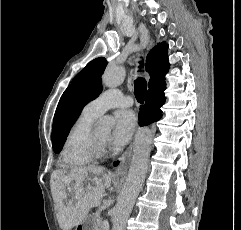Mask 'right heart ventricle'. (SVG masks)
<instances>
[{
	"label": "right heart ventricle",
	"mask_w": 241,
	"mask_h": 230,
	"mask_svg": "<svg viewBox=\"0 0 241 230\" xmlns=\"http://www.w3.org/2000/svg\"><path fill=\"white\" fill-rule=\"evenodd\" d=\"M96 119V116L83 110L68 130L61 151V161L65 166H83L94 160L85 150V139Z\"/></svg>",
	"instance_id": "e07e8e85"
}]
</instances>
